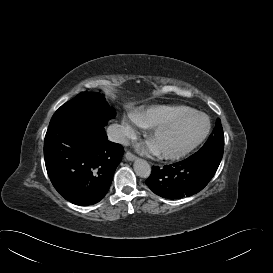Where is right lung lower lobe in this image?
I'll list each match as a JSON object with an SVG mask.
<instances>
[{"instance_id":"1","label":"right lung lower lobe","mask_w":273,"mask_h":273,"mask_svg":"<svg viewBox=\"0 0 273 273\" xmlns=\"http://www.w3.org/2000/svg\"><path fill=\"white\" fill-rule=\"evenodd\" d=\"M124 149L107 140L104 125L67 115L52 117L44 140L49 178L69 202L88 206L106 195Z\"/></svg>"}]
</instances>
